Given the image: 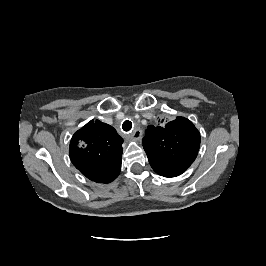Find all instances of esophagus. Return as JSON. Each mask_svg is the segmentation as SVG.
Returning <instances> with one entry per match:
<instances>
[{
  "label": "esophagus",
  "mask_w": 266,
  "mask_h": 266,
  "mask_svg": "<svg viewBox=\"0 0 266 266\" xmlns=\"http://www.w3.org/2000/svg\"><path fill=\"white\" fill-rule=\"evenodd\" d=\"M133 140H140L142 138V131L140 129H135L132 133Z\"/></svg>",
  "instance_id": "obj_1"
}]
</instances>
